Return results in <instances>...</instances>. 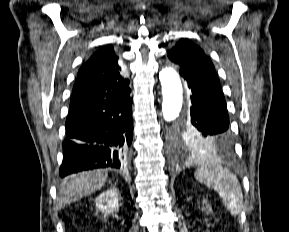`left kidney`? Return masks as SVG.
Listing matches in <instances>:
<instances>
[{
    "instance_id": "obj_1",
    "label": "left kidney",
    "mask_w": 289,
    "mask_h": 232,
    "mask_svg": "<svg viewBox=\"0 0 289 232\" xmlns=\"http://www.w3.org/2000/svg\"><path fill=\"white\" fill-rule=\"evenodd\" d=\"M206 203V202H205ZM207 207H209V211H211V207L209 205H207Z\"/></svg>"
}]
</instances>
